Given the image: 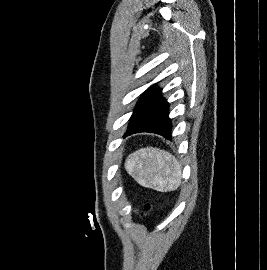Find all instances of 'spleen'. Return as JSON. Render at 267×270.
Returning a JSON list of instances; mask_svg holds the SVG:
<instances>
[{"mask_svg": "<svg viewBox=\"0 0 267 270\" xmlns=\"http://www.w3.org/2000/svg\"><path fill=\"white\" fill-rule=\"evenodd\" d=\"M125 169L141 186L160 192L174 190L181 177L179 162L169 152L153 147L130 154Z\"/></svg>", "mask_w": 267, "mask_h": 270, "instance_id": "1", "label": "spleen"}]
</instances>
